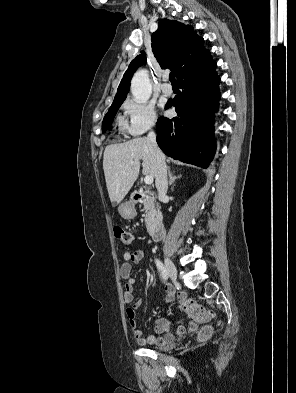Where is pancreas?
<instances>
[{
  "mask_svg": "<svg viewBox=\"0 0 296 393\" xmlns=\"http://www.w3.org/2000/svg\"><path fill=\"white\" fill-rule=\"evenodd\" d=\"M141 203L144 205L145 215V223L148 232H151L153 226L156 222V218L159 216L160 212L156 205V203L149 197H145Z\"/></svg>",
  "mask_w": 296,
  "mask_h": 393,
  "instance_id": "obj_1",
  "label": "pancreas"
}]
</instances>
